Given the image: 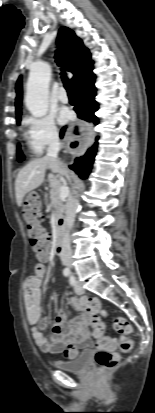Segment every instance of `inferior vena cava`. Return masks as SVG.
<instances>
[{
  "label": "inferior vena cava",
  "mask_w": 155,
  "mask_h": 413,
  "mask_svg": "<svg viewBox=\"0 0 155 413\" xmlns=\"http://www.w3.org/2000/svg\"><path fill=\"white\" fill-rule=\"evenodd\" d=\"M59 149H60L59 137H58V134L55 133L50 138L49 146L47 148L46 158L48 159L51 166L57 167L59 172L62 175L69 177V172L66 170V168H64V166L58 159ZM78 206H79L78 199L74 196H70L67 202L66 217L64 221L66 232L64 235V242H63L62 250L60 254L62 263L68 267L72 266V251H71L70 241H69V230L72 228L74 224V218H75V214H76Z\"/></svg>",
  "instance_id": "obj_1"
}]
</instances>
